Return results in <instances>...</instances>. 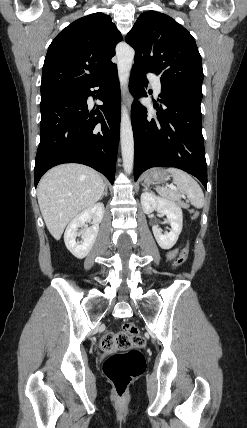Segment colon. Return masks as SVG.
I'll use <instances>...</instances> for the list:
<instances>
[{
	"mask_svg": "<svg viewBox=\"0 0 247 428\" xmlns=\"http://www.w3.org/2000/svg\"><path fill=\"white\" fill-rule=\"evenodd\" d=\"M189 247L181 250L174 267L182 266L189 257ZM103 350H126L110 355L103 364V371L112 383L118 397H122L131 382L144 371V357L140 348L145 346V339L133 323H125L118 332H106L100 341Z\"/></svg>",
	"mask_w": 247,
	"mask_h": 428,
	"instance_id": "5ec220e1",
	"label": "colon"
}]
</instances>
